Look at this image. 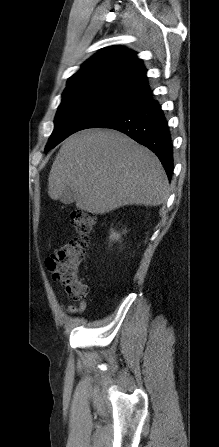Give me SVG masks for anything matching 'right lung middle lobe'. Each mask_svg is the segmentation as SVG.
I'll list each match as a JSON object with an SVG mask.
<instances>
[{
    "mask_svg": "<svg viewBox=\"0 0 219 447\" xmlns=\"http://www.w3.org/2000/svg\"><path fill=\"white\" fill-rule=\"evenodd\" d=\"M142 101L112 87L77 86L66 88L55 117V128L45 148H54L69 135L98 127Z\"/></svg>",
    "mask_w": 219,
    "mask_h": 447,
    "instance_id": "dd1d6c3e",
    "label": "right lung middle lobe"
}]
</instances>
